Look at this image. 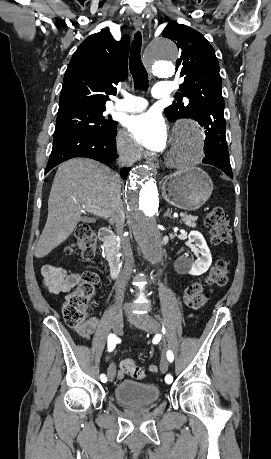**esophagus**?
I'll use <instances>...</instances> for the list:
<instances>
[{
	"label": "esophagus",
	"instance_id": "obj_1",
	"mask_svg": "<svg viewBox=\"0 0 271 459\" xmlns=\"http://www.w3.org/2000/svg\"><path fill=\"white\" fill-rule=\"evenodd\" d=\"M133 25H134L135 28H137V30H141V28H142V22H134ZM138 55L142 56L143 52L139 51ZM144 64H145L146 68L150 71V65L147 64L146 61H144ZM146 164L152 169L153 172H155L159 167V162L156 160V158L154 156L148 157L146 159Z\"/></svg>",
	"mask_w": 271,
	"mask_h": 459
}]
</instances>
